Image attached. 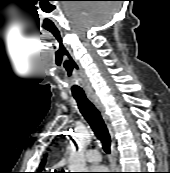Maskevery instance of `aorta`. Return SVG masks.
<instances>
[{"label":"aorta","mask_w":170,"mask_h":173,"mask_svg":"<svg viewBox=\"0 0 170 173\" xmlns=\"http://www.w3.org/2000/svg\"><path fill=\"white\" fill-rule=\"evenodd\" d=\"M89 139L90 135L87 131L79 133L75 137V141L81 149L88 144ZM68 161L70 172H86V162L82 150L76 151L75 149H72Z\"/></svg>","instance_id":"762f6f07"}]
</instances>
